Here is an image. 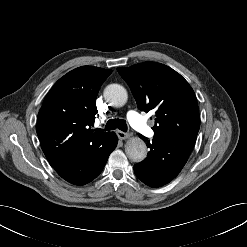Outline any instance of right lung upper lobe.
Wrapping results in <instances>:
<instances>
[{"label": "right lung upper lobe", "mask_w": 247, "mask_h": 247, "mask_svg": "<svg viewBox=\"0 0 247 247\" xmlns=\"http://www.w3.org/2000/svg\"><path fill=\"white\" fill-rule=\"evenodd\" d=\"M111 70L82 66L60 78L38 113L37 134L53 168L93 147L113 132L91 129L100 86Z\"/></svg>", "instance_id": "right-lung-upper-lobe-1"}]
</instances>
